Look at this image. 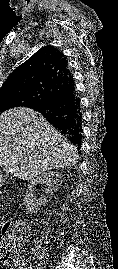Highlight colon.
<instances>
[{
  "label": "colon",
  "instance_id": "colon-1",
  "mask_svg": "<svg viewBox=\"0 0 118 269\" xmlns=\"http://www.w3.org/2000/svg\"><path fill=\"white\" fill-rule=\"evenodd\" d=\"M19 228L12 223L3 225L5 233L0 237V268H7L15 261Z\"/></svg>",
  "mask_w": 118,
  "mask_h": 269
}]
</instances>
